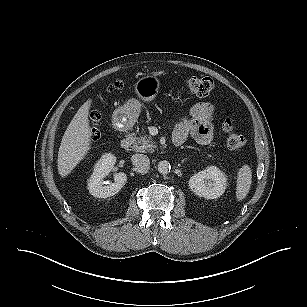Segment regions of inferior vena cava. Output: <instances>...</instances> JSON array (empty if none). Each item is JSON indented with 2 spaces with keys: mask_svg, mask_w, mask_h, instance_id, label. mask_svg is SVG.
Returning a JSON list of instances; mask_svg holds the SVG:
<instances>
[{
  "mask_svg": "<svg viewBox=\"0 0 307 307\" xmlns=\"http://www.w3.org/2000/svg\"><path fill=\"white\" fill-rule=\"evenodd\" d=\"M132 164L141 169V170H148L150 167V161L148 156L144 154H134L131 157Z\"/></svg>",
  "mask_w": 307,
  "mask_h": 307,
  "instance_id": "602c4592",
  "label": "inferior vena cava"
}]
</instances>
